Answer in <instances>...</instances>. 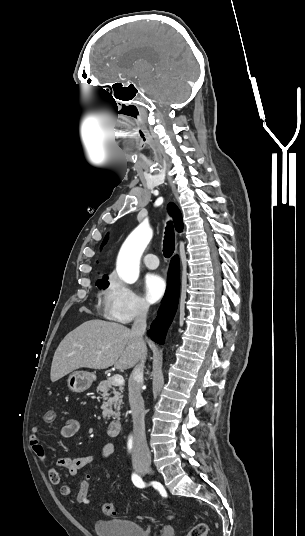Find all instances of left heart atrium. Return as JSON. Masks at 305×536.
I'll list each match as a JSON object with an SVG mask.
<instances>
[{"label": "left heart atrium", "mask_w": 305, "mask_h": 536, "mask_svg": "<svg viewBox=\"0 0 305 536\" xmlns=\"http://www.w3.org/2000/svg\"><path fill=\"white\" fill-rule=\"evenodd\" d=\"M164 279L154 273L147 274L144 279V292L151 303L158 302L165 292Z\"/></svg>", "instance_id": "obj_1"}]
</instances>
